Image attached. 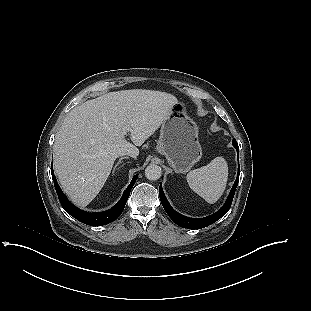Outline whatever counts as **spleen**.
<instances>
[{"mask_svg":"<svg viewBox=\"0 0 311 311\" xmlns=\"http://www.w3.org/2000/svg\"><path fill=\"white\" fill-rule=\"evenodd\" d=\"M189 187L208 203H215L225 191L228 165L223 157L190 171L186 176Z\"/></svg>","mask_w":311,"mask_h":311,"instance_id":"spleen-1","label":"spleen"}]
</instances>
